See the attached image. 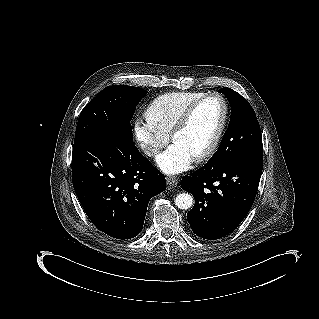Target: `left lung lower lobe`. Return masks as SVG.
<instances>
[{
	"label": "left lung lower lobe",
	"mask_w": 319,
	"mask_h": 319,
	"mask_svg": "<svg viewBox=\"0 0 319 319\" xmlns=\"http://www.w3.org/2000/svg\"><path fill=\"white\" fill-rule=\"evenodd\" d=\"M262 168L263 153H252L223 163H206L184 176L181 187L195 198L187 213L192 231L207 240L234 231L254 202Z\"/></svg>",
	"instance_id": "0a47b994"
}]
</instances>
